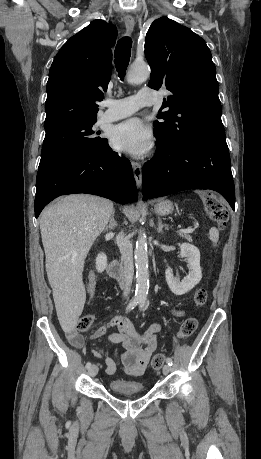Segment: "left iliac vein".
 Listing matches in <instances>:
<instances>
[{
    "mask_svg": "<svg viewBox=\"0 0 261 459\" xmlns=\"http://www.w3.org/2000/svg\"><path fill=\"white\" fill-rule=\"evenodd\" d=\"M162 370H163L164 375H168L171 372V366L168 364H165Z\"/></svg>",
    "mask_w": 261,
    "mask_h": 459,
    "instance_id": "4c4485c4",
    "label": "left iliac vein"
}]
</instances>
